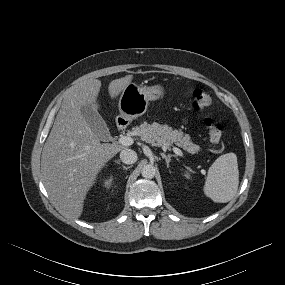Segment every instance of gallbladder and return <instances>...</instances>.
Returning a JSON list of instances; mask_svg holds the SVG:
<instances>
[{
    "label": "gallbladder",
    "instance_id": "bac80fb5",
    "mask_svg": "<svg viewBox=\"0 0 285 285\" xmlns=\"http://www.w3.org/2000/svg\"><path fill=\"white\" fill-rule=\"evenodd\" d=\"M81 112L88 126L99 137L100 140L108 141L111 138L109 129L107 128L104 119L96 110L88 105L83 106L81 108Z\"/></svg>",
    "mask_w": 285,
    "mask_h": 285
}]
</instances>
